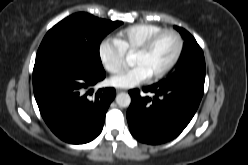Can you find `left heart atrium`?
<instances>
[{
	"instance_id": "1",
	"label": "left heart atrium",
	"mask_w": 248,
	"mask_h": 165,
	"mask_svg": "<svg viewBox=\"0 0 248 165\" xmlns=\"http://www.w3.org/2000/svg\"><path fill=\"white\" fill-rule=\"evenodd\" d=\"M149 72L143 65H135L115 73L110 78V83L119 88H130L143 83L150 78Z\"/></svg>"
}]
</instances>
